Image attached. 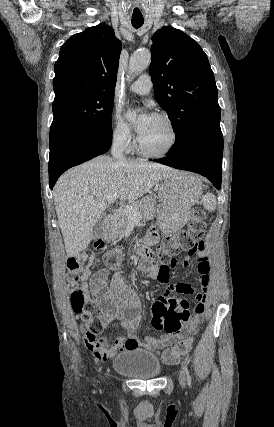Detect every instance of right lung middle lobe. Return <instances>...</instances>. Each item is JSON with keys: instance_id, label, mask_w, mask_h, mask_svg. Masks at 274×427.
Returning <instances> with one entry per match:
<instances>
[{"instance_id": "dd1d6c3e", "label": "right lung middle lobe", "mask_w": 274, "mask_h": 427, "mask_svg": "<svg viewBox=\"0 0 274 427\" xmlns=\"http://www.w3.org/2000/svg\"><path fill=\"white\" fill-rule=\"evenodd\" d=\"M114 95H66L53 103L50 149L62 139L84 132L112 131Z\"/></svg>"}]
</instances>
